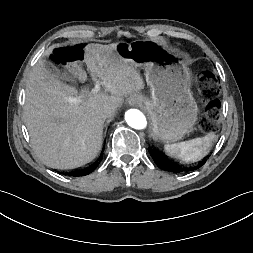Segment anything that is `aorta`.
I'll return each instance as SVG.
<instances>
[{
  "instance_id": "aorta-1",
  "label": "aorta",
  "mask_w": 253,
  "mask_h": 253,
  "mask_svg": "<svg viewBox=\"0 0 253 253\" xmlns=\"http://www.w3.org/2000/svg\"><path fill=\"white\" fill-rule=\"evenodd\" d=\"M125 121L134 129H144L147 125V120L144 114L137 109H130L125 113Z\"/></svg>"
}]
</instances>
